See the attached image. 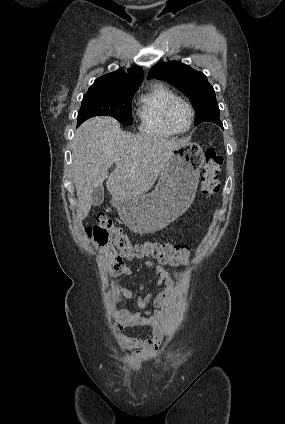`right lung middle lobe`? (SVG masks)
Listing matches in <instances>:
<instances>
[{
    "mask_svg": "<svg viewBox=\"0 0 285 424\" xmlns=\"http://www.w3.org/2000/svg\"><path fill=\"white\" fill-rule=\"evenodd\" d=\"M138 86L88 90L83 96L77 125L93 116H111L124 125L133 122L132 97Z\"/></svg>",
    "mask_w": 285,
    "mask_h": 424,
    "instance_id": "right-lung-middle-lobe-1",
    "label": "right lung middle lobe"
}]
</instances>
